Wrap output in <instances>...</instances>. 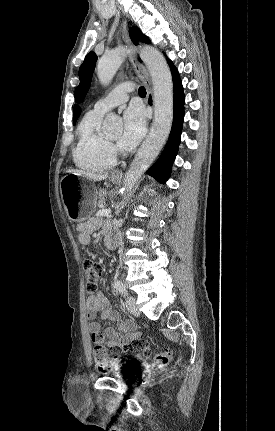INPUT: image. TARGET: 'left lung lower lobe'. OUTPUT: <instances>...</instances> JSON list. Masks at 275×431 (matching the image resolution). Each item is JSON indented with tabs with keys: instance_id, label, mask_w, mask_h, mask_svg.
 I'll return each instance as SVG.
<instances>
[{
	"instance_id": "left-lung-lower-lobe-1",
	"label": "left lung lower lobe",
	"mask_w": 275,
	"mask_h": 431,
	"mask_svg": "<svg viewBox=\"0 0 275 431\" xmlns=\"http://www.w3.org/2000/svg\"><path fill=\"white\" fill-rule=\"evenodd\" d=\"M173 78L174 86V110L173 124L168 142L157 162L147 171V173L157 179L160 183H165L169 178L172 164L177 155L178 146L180 144L183 118H184V103L185 97L183 86L180 80L179 73L173 63L168 60ZM151 104V98L149 100Z\"/></svg>"
}]
</instances>
